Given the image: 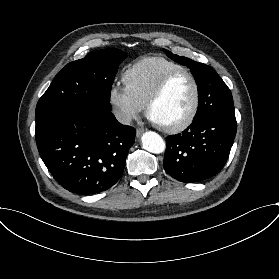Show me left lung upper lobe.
<instances>
[{"mask_svg": "<svg viewBox=\"0 0 279 279\" xmlns=\"http://www.w3.org/2000/svg\"><path fill=\"white\" fill-rule=\"evenodd\" d=\"M175 62L191 69L198 85L199 104L194 119L207 114H219L235 117L234 103L230 89L212 67L181 57L163 49Z\"/></svg>", "mask_w": 279, "mask_h": 279, "instance_id": "obj_1", "label": "left lung upper lobe"}]
</instances>
